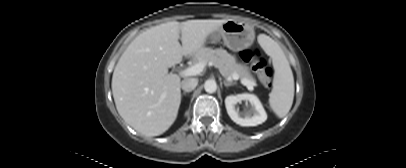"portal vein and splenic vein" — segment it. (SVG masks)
I'll list each match as a JSON object with an SVG mask.
<instances>
[{
    "label": "portal vein and splenic vein",
    "mask_w": 406,
    "mask_h": 168,
    "mask_svg": "<svg viewBox=\"0 0 406 168\" xmlns=\"http://www.w3.org/2000/svg\"><path fill=\"white\" fill-rule=\"evenodd\" d=\"M205 65H206V63H204V62H199V63H197V64H195V65H193V66H191V67H188V68H186L185 70H183V71L181 72V75H182L183 77L198 75V74H200V73L204 70ZM232 79H233V80H238V79H239V76H238L237 74H233V75H232ZM241 83H242L243 85L247 86L249 90H253V87L256 86V84H252V83H250V82L247 81V80H243V81H241ZM163 97H164V95H163Z\"/></svg>",
    "instance_id": "portal-vein-and-splenic-vein-1"
}]
</instances>
